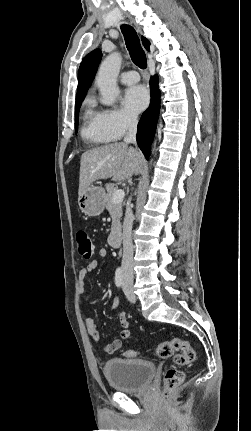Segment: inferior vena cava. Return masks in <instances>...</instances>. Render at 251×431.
Instances as JSON below:
<instances>
[{"mask_svg":"<svg viewBox=\"0 0 251 431\" xmlns=\"http://www.w3.org/2000/svg\"><path fill=\"white\" fill-rule=\"evenodd\" d=\"M137 117L129 115L127 119V133L124 137V143H135L137 133ZM133 212L130 207L127 208L123 222V258H122V274L124 280H133V242H132V226Z\"/></svg>","mask_w":251,"mask_h":431,"instance_id":"obj_1","label":"inferior vena cava"}]
</instances>
